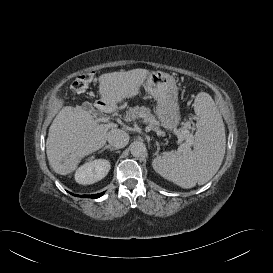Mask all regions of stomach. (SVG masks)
I'll list each match as a JSON object with an SVG mask.
<instances>
[{"mask_svg":"<svg viewBox=\"0 0 273 273\" xmlns=\"http://www.w3.org/2000/svg\"><path fill=\"white\" fill-rule=\"evenodd\" d=\"M145 90L157 101L155 113L161 125L172 131L180 122L178 89L175 78L165 72H151L145 83Z\"/></svg>","mask_w":273,"mask_h":273,"instance_id":"0dacf381","label":"stomach"}]
</instances>
